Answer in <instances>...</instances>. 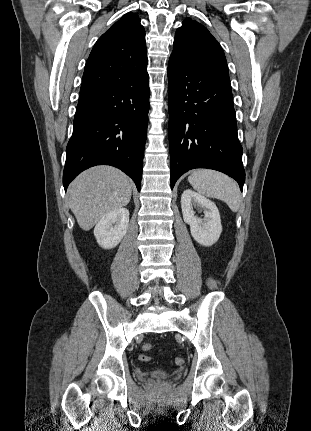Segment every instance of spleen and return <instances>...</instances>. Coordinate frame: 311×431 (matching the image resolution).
Wrapping results in <instances>:
<instances>
[{
    "mask_svg": "<svg viewBox=\"0 0 311 431\" xmlns=\"http://www.w3.org/2000/svg\"><path fill=\"white\" fill-rule=\"evenodd\" d=\"M188 182L202 196L222 200V202H226L232 212H238L241 206L238 184L225 174L214 172V170H194L188 176Z\"/></svg>",
    "mask_w": 311,
    "mask_h": 431,
    "instance_id": "1",
    "label": "spleen"
}]
</instances>
